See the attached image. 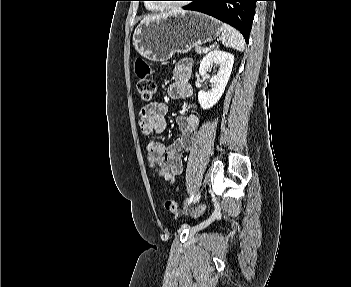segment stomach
<instances>
[{
	"label": "stomach",
	"instance_id": "stomach-1",
	"mask_svg": "<svg viewBox=\"0 0 351 287\" xmlns=\"http://www.w3.org/2000/svg\"><path fill=\"white\" fill-rule=\"evenodd\" d=\"M222 32L221 23L199 12L172 14L141 22L133 34L135 50L154 62H165L175 53L213 41Z\"/></svg>",
	"mask_w": 351,
	"mask_h": 287
}]
</instances>
